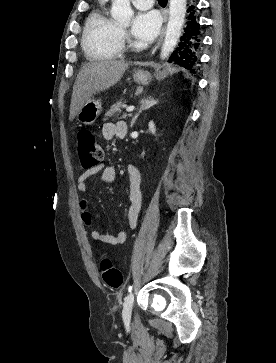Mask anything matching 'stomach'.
Listing matches in <instances>:
<instances>
[{
  "label": "stomach",
  "mask_w": 276,
  "mask_h": 363,
  "mask_svg": "<svg viewBox=\"0 0 276 363\" xmlns=\"http://www.w3.org/2000/svg\"><path fill=\"white\" fill-rule=\"evenodd\" d=\"M158 80L165 77L163 72L154 75ZM153 76L149 72L137 71L133 74V79L140 85H148L152 81ZM102 111L100 101L90 98L88 99L77 113V120L84 125L93 124Z\"/></svg>",
  "instance_id": "obj_1"
}]
</instances>
